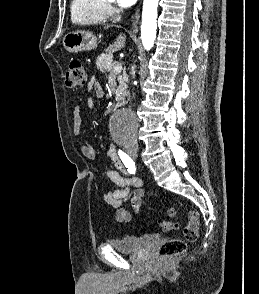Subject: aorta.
Wrapping results in <instances>:
<instances>
[{"mask_svg":"<svg viewBox=\"0 0 259 294\" xmlns=\"http://www.w3.org/2000/svg\"><path fill=\"white\" fill-rule=\"evenodd\" d=\"M159 0H144L142 11L141 39L145 50L149 51L156 39L157 8ZM137 117L126 110L118 111L112 122V132L117 137H128L135 134Z\"/></svg>","mask_w":259,"mask_h":294,"instance_id":"1","label":"aorta"}]
</instances>
